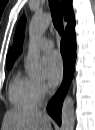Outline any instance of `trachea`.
<instances>
[{
	"label": "trachea",
	"instance_id": "obj_1",
	"mask_svg": "<svg viewBox=\"0 0 95 130\" xmlns=\"http://www.w3.org/2000/svg\"><path fill=\"white\" fill-rule=\"evenodd\" d=\"M49 7H50L54 27L59 32V34L62 35L64 32V27H63V16H62L59 1L49 0Z\"/></svg>",
	"mask_w": 95,
	"mask_h": 130
}]
</instances>
